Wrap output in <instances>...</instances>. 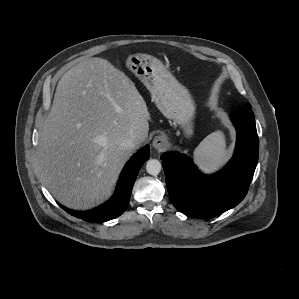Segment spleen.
Returning a JSON list of instances; mask_svg holds the SVG:
<instances>
[{
  "mask_svg": "<svg viewBox=\"0 0 299 299\" xmlns=\"http://www.w3.org/2000/svg\"><path fill=\"white\" fill-rule=\"evenodd\" d=\"M194 156L208 168L222 163L227 157L223 134L217 131L207 136L196 148Z\"/></svg>",
  "mask_w": 299,
  "mask_h": 299,
  "instance_id": "spleen-1",
  "label": "spleen"
}]
</instances>
